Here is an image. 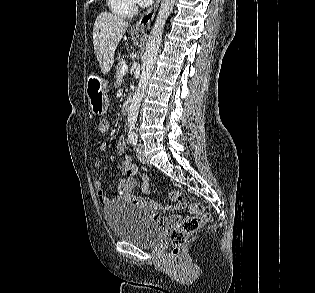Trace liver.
Listing matches in <instances>:
<instances>
[{
  "mask_svg": "<svg viewBox=\"0 0 315 293\" xmlns=\"http://www.w3.org/2000/svg\"><path fill=\"white\" fill-rule=\"evenodd\" d=\"M129 27V23L109 12L100 13L93 27V46L99 62L110 67L115 50Z\"/></svg>",
  "mask_w": 315,
  "mask_h": 293,
  "instance_id": "liver-1",
  "label": "liver"
}]
</instances>
